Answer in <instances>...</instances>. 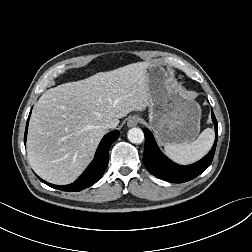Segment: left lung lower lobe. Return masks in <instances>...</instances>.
<instances>
[{"label":"left lung lower lobe","instance_id":"obj_1","mask_svg":"<svg viewBox=\"0 0 252 252\" xmlns=\"http://www.w3.org/2000/svg\"><path fill=\"white\" fill-rule=\"evenodd\" d=\"M212 121L215 125L216 133V139L212 149L200 161L188 166L178 165L164 156L160 152L152 133L148 129L143 128V132L145 134L143 163L146 166L147 170L152 175L173 183L187 182L204 172L210 166L213 160L217 144L218 124L213 112Z\"/></svg>","mask_w":252,"mask_h":252}]
</instances>
